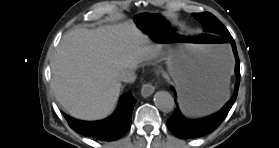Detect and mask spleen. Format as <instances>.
<instances>
[{
    "label": "spleen",
    "mask_w": 279,
    "mask_h": 148,
    "mask_svg": "<svg viewBox=\"0 0 279 148\" xmlns=\"http://www.w3.org/2000/svg\"><path fill=\"white\" fill-rule=\"evenodd\" d=\"M220 54L222 55L223 59H226V50L225 49H221ZM223 95L226 97H228L229 95V80H226L225 85L223 87Z\"/></svg>",
    "instance_id": "1"
}]
</instances>
